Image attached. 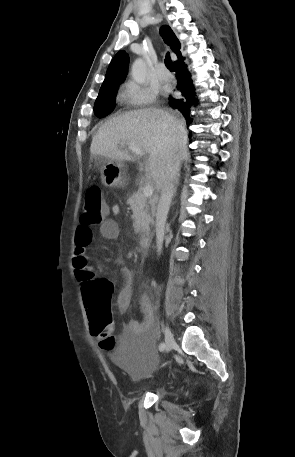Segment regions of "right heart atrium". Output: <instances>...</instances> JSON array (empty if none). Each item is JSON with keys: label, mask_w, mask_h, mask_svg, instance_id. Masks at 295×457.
<instances>
[{"label": "right heart atrium", "mask_w": 295, "mask_h": 457, "mask_svg": "<svg viewBox=\"0 0 295 457\" xmlns=\"http://www.w3.org/2000/svg\"><path fill=\"white\" fill-rule=\"evenodd\" d=\"M122 99L130 107H143L155 102V90L141 86L135 82H127L122 89Z\"/></svg>", "instance_id": "1"}]
</instances>
